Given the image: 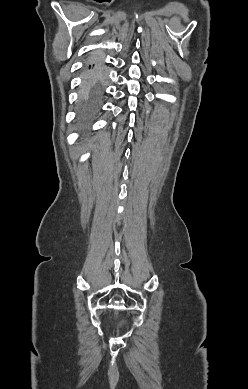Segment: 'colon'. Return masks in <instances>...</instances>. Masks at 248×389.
Instances as JSON below:
<instances>
[{
    "mask_svg": "<svg viewBox=\"0 0 248 389\" xmlns=\"http://www.w3.org/2000/svg\"><path fill=\"white\" fill-rule=\"evenodd\" d=\"M124 324L126 323V320H124V322H123Z\"/></svg>",
    "mask_w": 248,
    "mask_h": 389,
    "instance_id": "obj_1",
    "label": "colon"
}]
</instances>
